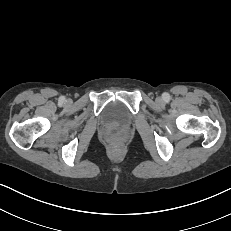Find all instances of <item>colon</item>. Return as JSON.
Returning <instances> with one entry per match:
<instances>
[{
    "instance_id": "1",
    "label": "colon",
    "mask_w": 231,
    "mask_h": 231,
    "mask_svg": "<svg viewBox=\"0 0 231 231\" xmlns=\"http://www.w3.org/2000/svg\"><path fill=\"white\" fill-rule=\"evenodd\" d=\"M121 142L120 141H114L113 146L114 147H120Z\"/></svg>"
}]
</instances>
